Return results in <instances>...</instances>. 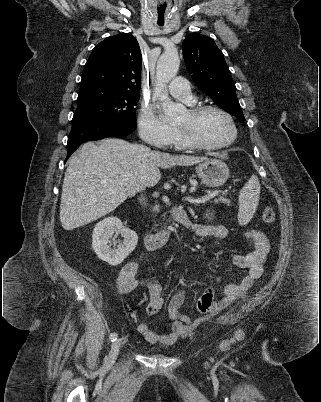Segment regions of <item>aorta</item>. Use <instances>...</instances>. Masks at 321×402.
I'll use <instances>...</instances> for the list:
<instances>
[{"label": "aorta", "instance_id": "1", "mask_svg": "<svg viewBox=\"0 0 321 402\" xmlns=\"http://www.w3.org/2000/svg\"><path fill=\"white\" fill-rule=\"evenodd\" d=\"M179 65L180 59L175 50L165 51L157 61L155 96L161 103L164 120L176 118L183 110V106L174 103L167 92V84L177 74Z\"/></svg>", "mask_w": 321, "mask_h": 402}]
</instances>
